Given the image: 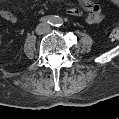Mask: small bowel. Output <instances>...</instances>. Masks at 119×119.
I'll return each mask as SVG.
<instances>
[{
	"mask_svg": "<svg viewBox=\"0 0 119 119\" xmlns=\"http://www.w3.org/2000/svg\"><path fill=\"white\" fill-rule=\"evenodd\" d=\"M80 6L87 13L86 22L88 24H98L102 21L101 8L98 4L88 0H82L80 1ZM67 13L72 16H79L81 11L78 8H70L67 10ZM1 17L10 23L17 21L15 14L8 10H3Z\"/></svg>",
	"mask_w": 119,
	"mask_h": 119,
	"instance_id": "c3829d8e",
	"label": "small bowel"
}]
</instances>
